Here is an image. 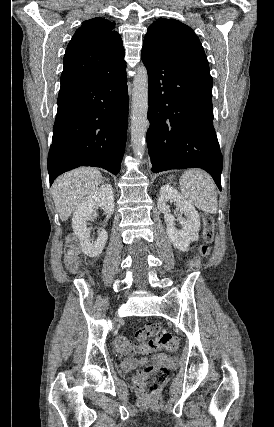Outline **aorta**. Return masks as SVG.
Returning a JSON list of instances; mask_svg holds the SVG:
<instances>
[{"label": "aorta", "instance_id": "obj_1", "mask_svg": "<svg viewBox=\"0 0 274 427\" xmlns=\"http://www.w3.org/2000/svg\"><path fill=\"white\" fill-rule=\"evenodd\" d=\"M131 143L134 154L142 157L145 137L149 128L148 115V72L144 65L136 69L132 90Z\"/></svg>", "mask_w": 274, "mask_h": 427}]
</instances>
